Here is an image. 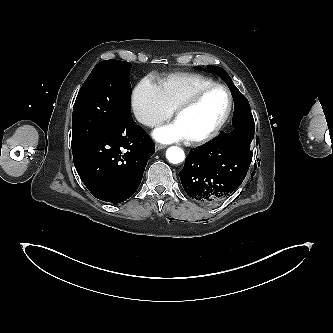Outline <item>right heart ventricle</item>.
<instances>
[{
    "instance_id": "obj_1",
    "label": "right heart ventricle",
    "mask_w": 333,
    "mask_h": 333,
    "mask_svg": "<svg viewBox=\"0 0 333 333\" xmlns=\"http://www.w3.org/2000/svg\"><path fill=\"white\" fill-rule=\"evenodd\" d=\"M215 83L211 78L195 73H175L159 83L161 94L174 111L182 102L204 86Z\"/></svg>"
}]
</instances>
